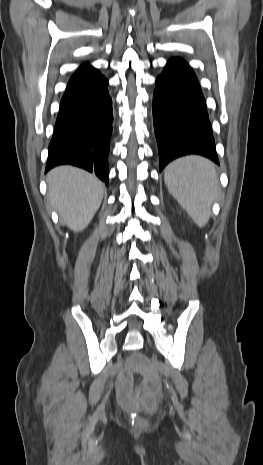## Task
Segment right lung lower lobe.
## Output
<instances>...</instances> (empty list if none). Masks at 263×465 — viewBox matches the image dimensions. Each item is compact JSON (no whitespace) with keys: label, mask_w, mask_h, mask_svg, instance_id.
<instances>
[{"label":"right lung lower lobe","mask_w":263,"mask_h":465,"mask_svg":"<svg viewBox=\"0 0 263 465\" xmlns=\"http://www.w3.org/2000/svg\"><path fill=\"white\" fill-rule=\"evenodd\" d=\"M107 83L90 66L73 74L60 103L45 172L71 164L95 172L108 184L113 116Z\"/></svg>","instance_id":"98d812e1"}]
</instances>
